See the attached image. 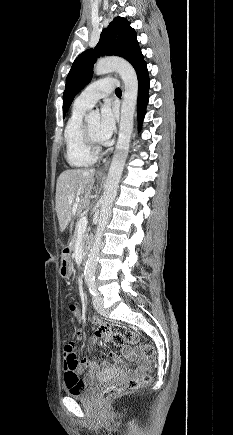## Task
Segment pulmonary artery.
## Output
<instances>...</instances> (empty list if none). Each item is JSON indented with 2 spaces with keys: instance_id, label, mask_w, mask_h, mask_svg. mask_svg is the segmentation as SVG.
<instances>
[{
  "instance_id": "1",
  "label": "pulmonary artery",
  "mask_w": 233,
  "mask_h": 435,
  "mask_svg": "<svg viewBox=\"0 0 233 435\" xmlns=\"http://www.w3.org/2000/svg\"><path fill=\"white\" fill-rule=\"evenodd\" d=\"M116 89V80L106 77L86 87L75 99V105L85 109L91 108L99 99L106 97Z\"/></svg>"
}]
</instances>
